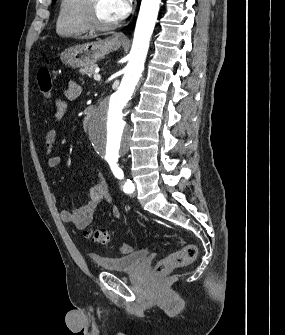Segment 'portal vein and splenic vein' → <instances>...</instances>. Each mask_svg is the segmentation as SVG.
Masks as SVG:
<instances>
[{
  "label": "portal vein and splenic vein",
  "mask_w": 285,
  "mask_h": 335,
  "mask_svg": "<svg viewBox=\"0 0 285 335\" xmlns=\"http://www.w3.org/2000/svg\"><path fill=\"white\" fill-rule=\"evenodd\" d=\"M95 72H96V74H94V80H96V82H100L101 76H100V74H98L99 70H98V72H97V70H95Z\"/></svg>",
  "instance_id": "portal-vein-and-splenic-vein-1"
}]
</instances>
